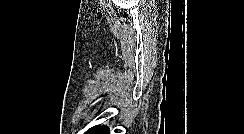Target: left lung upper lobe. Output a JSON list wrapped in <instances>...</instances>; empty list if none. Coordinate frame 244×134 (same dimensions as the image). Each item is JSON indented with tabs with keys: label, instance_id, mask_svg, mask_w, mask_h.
<instances>
[{
	"label": "left lung upper lobe",
	"instance_id": "1",
	"mask_svg": "<svg viewBox=\"0 0 244 134\" xmlns=\"http://www.w3.org/2000/svg\"><path fill=\"white\" fill-rule=\"evenodd\" d=\"M100 127H101V126H99V125L94 126V127L90 128L89 130H87V131L85 132V134H94V132H95L96 130H98Z\"/></svg>",
	"mask_w": 244,
	"mask_h": 134
}]
</instances>
